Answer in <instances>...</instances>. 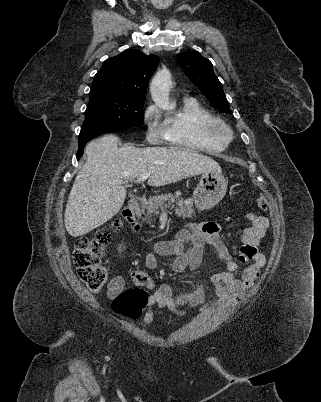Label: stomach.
<instances>
[{"instance_id": "1", "label": "stomach", "mask_w": 321, "mask_h": 402, "mask_svg": "<svg viewBox=\"0 0 321 402\" xmlns=\"http://www.w3.org/2000/svg\"><path fill=\"white\" fill-rule=\"evenodd\" d=\"M227 180L217 171L204 172L193 193L195 206L200 210H209L217 205L227 191Z\"/></svg>"}]
</instances>
